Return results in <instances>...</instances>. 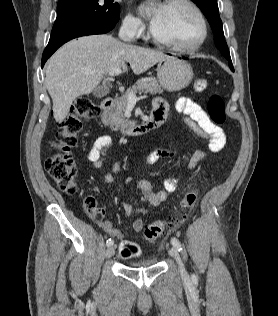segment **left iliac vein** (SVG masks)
Returning <instances> with one entry per match:
<instances>
[{
	"label": "left iliac vein",
	"mask_w": 278,
	"mask_h": 316,
	"mask_svg": "<svg viewBox=\"0 0 278 316\" xmlns=\"http://www.w3.org/2000/svg\"><path fill=\"white\" fill-rule=\"evenodd\" d=\"M169 254L175 259V261L177 262L178 264V267H179V270L181 272L182 275H186V270H185V267H184V264L180 258V255L177 251V249L175 247H172L170 250H169Z\"/></svg>",
	"instance_id": "1"
}]
</instances>
